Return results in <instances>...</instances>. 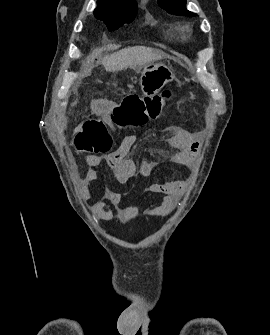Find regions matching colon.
Here are the masks:
<instances>
[{
  "label": "colon",
  "mask_w": 270,
  "mask_h": 335,
  "mask_svg": "<svg viewBox=\"0 0 270 335\" xmlns=\"http://www.w3.org/2000/svg\"><path fill=\"white\" fill-rule=\"evenodd\" d=\"M176 90L167 89L156 97L131 94L113 109L110 116H93L86 120L74 138L76 150L89 155L107 154L112 145L105 123H115L121 130L137 129L160 117L163 101H169Z\"/></svg>",
  "instance_id": "1"
}]
</instances>
